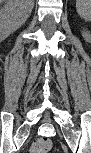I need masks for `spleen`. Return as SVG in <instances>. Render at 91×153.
<instances>
[{
  "label": "spleen",
  "mask_w": 91,
  "mask_h": 153,
  "mask_svg": "<svg viewBox=\"0 0 91 153\" xmlns=\"http://www.w3.org/2000/svg\"><path fill=\"white\" fill-rule=\"evenodd\" d=\"M77 13L83 19L89 21L91 18V1L90 0H77L76 2Z\"/></svg>",
  "instance_id": "spleen-1"
}]
</instances>
